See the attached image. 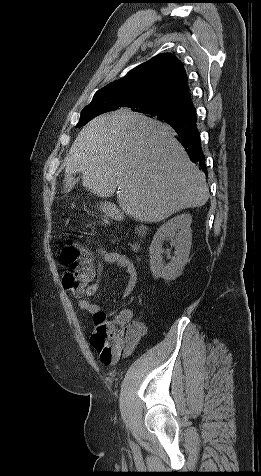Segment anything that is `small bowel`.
<instances>
[{"label":"small bowel","mask_w":261,"mask_h":476,"mask_svg":"<svg viewBox=\"0 0 261 476\" xmlns=\"http://www.w3.org/2000/svg\"><path fill=\"white\" fill-rule=\"evenodd\" d=\"M97 254L101 259L95 266H92V278L90 282L81 290L75 292L76 297L79 299V307L94 317L102 313L100 305L93 302L92 297L100 286L105 265H117L126 272L127 283L123 292V298H127L131 295L138 282L136 267L129 257L119 252H111L103 249L98 250ZM110 326L120 329L123 333V338L108 356L100 354L101 360L105 364H113L121 357L131 354L145 332L144 323L134 319L132 312L128 309L121 310L115 316Z\"/></svg>","instance_id":"c3829d8e"}]
</instances>
